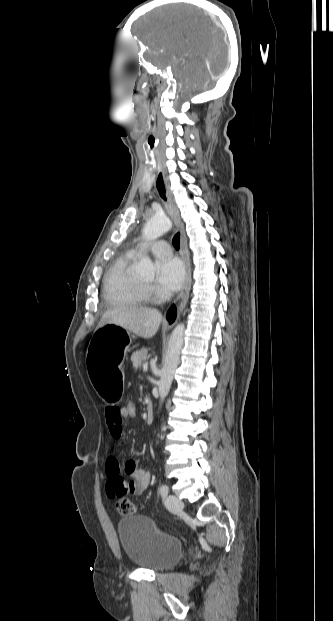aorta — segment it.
<instances>
[{
    "label": "aorta",
    "mask_w": 333,
    "mask_h": 621,
    "mask_svg": "<svg viewBox=\"0 0 333 621\" xmlns=\"http://www.w3.org/2000/svg\"><path fill=\"white\" fill-rule=\"evenodd\" d=\"M172 227V222L166 215H155L149 219L143 228L142 236L146 241H152L164 233L169 231ZM154 264L149 257L145 256L139 262L136 268V274L144 278L154 277ZM185 325L183 323L178 324L170 337L164 365L161 371L160 380L158 382L160 403L162 404L165 397L168 395L173 381L174 373L179 363L180 351L183 345Z\"/></svg>",
    "instance_id": "aorta-1"
}]
</instances>
